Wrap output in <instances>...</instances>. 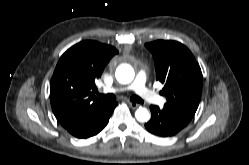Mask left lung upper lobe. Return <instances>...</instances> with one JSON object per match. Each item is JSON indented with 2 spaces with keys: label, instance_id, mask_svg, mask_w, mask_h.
<instances>
[{
  "label": "left lung upper lobe",
  "instance_id": "5c2ea615",
  "mask_svg": "<svg viewBox=\"0 0 249 165\" xmlns=\"http://www.w3.org/2000/svg\"><path fill=\"white\" fill-rule=\"evenodd\" d=\"M145 46L153 55L156 79L164 84L161 91L167 100L164 107L194 116L201 98L203 76L193 54L177 41L157 40Z\"/></svg>",
  "mask_w": 249,
  "mask_h": 165
}]
</instances>
